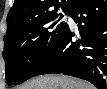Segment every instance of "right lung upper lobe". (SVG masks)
Returning a JSON list of instances; mask_svg holds the SVG:
<instances>
[{"instance_id": "right-lung-upper-lobe-1", "label": "right lung upper lobe", "mask_w": 107, "mask_h": 89, "mask_svg": "<svg viewBox=\"0 0 107 89\" xmlns=\"http://www.w3.org/2000/svg\"><path fill=\"white\" fill-rule=\"evenodd\" d=\"M77 0H14L7 16V25L11 26L31 19L57 14L61 7L69 12Z\"/></svg>"}]
</instances>
